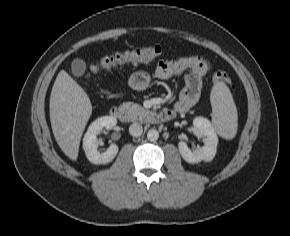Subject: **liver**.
<instances>
[{
    "label": "liver",
    "mask_w": 290,
    "mask_h": 236,
    "mask_svg": "<svg viewBox=\"0 0 290 236\" xmlns=\"http://www.w3.org/2000/svg\"><path fill=\"white\" fill-rule=\"evenodd\" d=\"M49 109L57 144L66 156L76 161L81 137L92 113V104L83 88L65 70H61L56 77Z\"/></svg>",
    "instance_id": "6515ba94"
}]
</instances>
